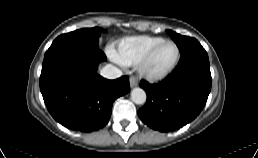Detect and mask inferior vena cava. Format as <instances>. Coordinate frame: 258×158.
Wrapping results in <instances>:
<instances>
[{
    "label": "inferior vena cava",
    "instance_id": "inferior-vena-cava-1",
    "mask_svg": "<svg viewBox=\"0 0 258 158\" xmlns=\"http://www.w3.org/2000/svg\"><path fill=\"white\" fill-rule=\"evenodd\" d=\"M100 75L107 79H116L122 76V71L111 64H107L101 69Z\"/></svg>",
    "mask_w": 258,
    "mask_h": 158
}]
</instances>
